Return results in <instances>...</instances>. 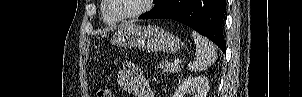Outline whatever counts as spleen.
Here are the masks:
<instances>
[{"instance_id":"3e777b00","label":"spleen","mask_w":302,"mask_h":97,"mask_svg":"<svg viewBox=\"0 0 302 97\" xmlns=\"http://www.w3.org/2000/svg\"><path fill=\"white\" fill-rule=\"evenodd\" d=\"M192 37L196 44V58L188 64V69L191 72L203 71L217 60L216 47L196 31H192Z\"/></svg>"}]
</instances>
